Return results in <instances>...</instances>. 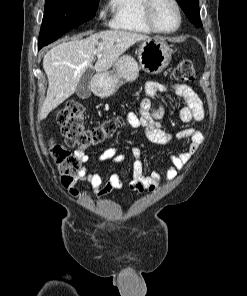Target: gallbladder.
Wrapping results in <instances>:
<instances>
[{"label":"gallbladder","mask_w":247,"mask_h":296,"mask_svg":"<svg viewBox=\"0 0 247 296\" xmlns=\"http://www.w3.org/2000/svg\"><path fill=\"white\" fill-rule=\"evenodd\" d=\"M92 75L93 71L92 69H87L86 72L82 75L77 88H76V94L81 99H87L90 97L92 89Z\"/></svg>","instance_id":"bac80fb5"}]
</instances>
